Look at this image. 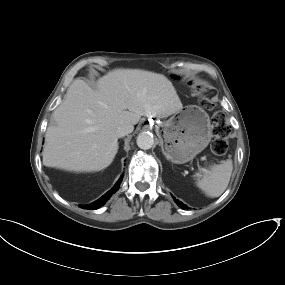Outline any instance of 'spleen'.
<instances>
[{"label": "spleen", "instance_id": "1", "mask_svg": "<svg viewBox=\"0 0 285 285\" xmlns=\"http://www.w3.org/2000/svg\"><path fill=\"white\" fill-rule=\"evenodd\" d=\"M232 169V160H226L219 165H213L210 170H204L205 174L197 181V186L208 197H219L229 184Z\"/></svg>", "mask_w": 285, "mask_h": 285}]
</instances>
